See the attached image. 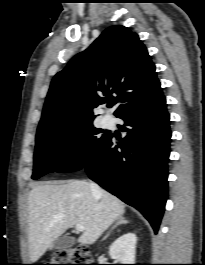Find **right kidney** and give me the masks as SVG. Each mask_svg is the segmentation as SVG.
<instances>
[{
  "instance_id": "obj_1",
  "label": "right kidney",
  "mask_w": 205,
  "mask_h": 265,
  "mask_svg": "<svg viewBox=\"0 0 205 265\" xmlns=\"http://www.w3.org/2000/svg\"><path fill=\"white\" fill-rule=\"evenodd\" d=\"M137 237L126 233L117 238L109 248V255L121 264H135Z\"/></svg>"
}]
</instances>
